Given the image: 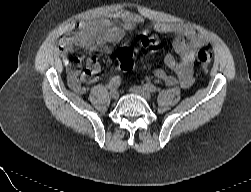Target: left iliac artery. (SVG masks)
I'll return each mask as SVG.
<instances>
[{"label": "left iliac artery", "instance_id": "44dca946", "mask_svg": "<svg viewBox=\"0 0 251 192\" xmlns=\"http://www.w3.org/2000/svg\"><path fill=\"white\" fill-rule=\"evenodd\" d=\"M144 88L147 89L149 92L155 93L158 89L156 88V86H154L151 83H147L144 85Z\"/></svg>", "mask_w": 251, "mask_h": 192}]
</instances>
